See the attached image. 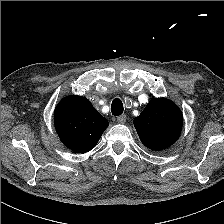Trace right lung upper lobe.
I'll return each instance as SVG.
<instances>
[{
    "mask_svg": "<svg viewBox=\"0 0 224 224\" xmlns=\"http://www.w3.org/2000/svg\"><path fill=\"white\" fill-rule=\"evenodd\" d=\"M54 122L62 143L78 153L92 150L109 125L88 99L77 95L67 96L59 102Z\"/></svg>",
    "mask_w": 224,
    "mask_h": 224,
    "instance_id": "cb5924a9",
    "label": "right lung upper lobe"
}]
</instances>
